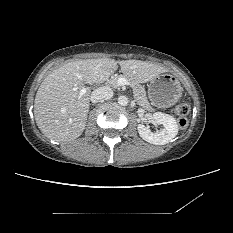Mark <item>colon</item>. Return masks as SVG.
I'll return each mask as SVG.
<instances>
[{
    "label": "colon",
    "mask_w": 233,
    "mask_h": 233,
    "mask_svg": "<svg viewBox=\"0 0 233 233\" xmlns=\"http://www.w3.org/2000/svg\"><path fill=\"white\" fill-rule=\"evenodd\" d=\"M189 112H190V106L187 103H178L175 107L177 124L182 129L186 128L188 125L187 116Z\"/></svg>",
    "instance_id": "colon-1"
}]
</instances>
